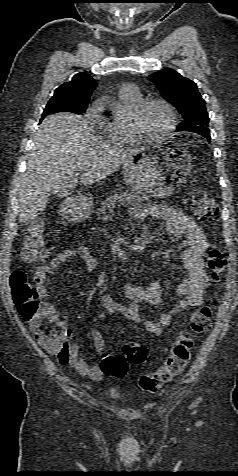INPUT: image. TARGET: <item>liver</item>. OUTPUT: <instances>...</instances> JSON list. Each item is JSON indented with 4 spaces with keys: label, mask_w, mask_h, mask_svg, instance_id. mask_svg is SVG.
Here are the masks:
<instances>
[{
    "label": "liver",
    "mask_w": 238,
    "mask_h": 476,
    "mask_svg": "<svg viewBox=\"0 0 238 476\" xmlns=\"http://www.w3.org/2000/svg\"><path fill=\"white\" fill-rule=\"evenodd\" d=\"M18 189L19 222L40 215L51 193L68 196L78 183H98L143 149H119L102 142L79 115L47 116L36 133Z\"/></svg>",
    "instance_id": "liver-1"
}]
</instances>
